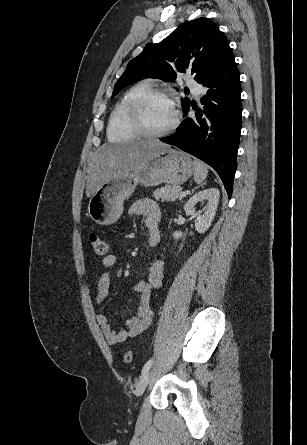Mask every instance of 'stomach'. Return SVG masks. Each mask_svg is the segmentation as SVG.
I'll use <instances>...</instances> for the list:
<instances>
[{"label":"stomach","instance_id":"0dacf381","mask_svg":"<svg viewBox=\"0 0 307 445\" xmlns=\"http://www.w3.org/2000/svg\"><path fill=\"white\" fill-rule=\"evenodd\" d=\"M191 174L193 162L188 154L165 148L144 164H139L135 170L118 174L109 182L101 184L89 200L88 214L98 225H113L123 212L124 200L131 196L137 184L156 186L167 182L179 186Z\"/></svg>","mask_w":307,"mask_h":445}]
</instances>
